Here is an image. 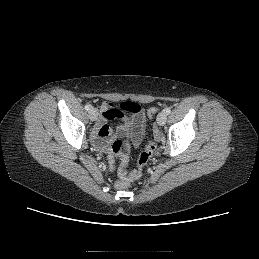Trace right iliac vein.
<instances>
[{
	"mask_svg": "<svg viewBox=\"0 0 259 259\" xmlns=\"http://www.w3.org/2000/svg\"><path fill=\"white\" fill-rule=\"evenodd\" d=\"M89 118L91 121H95L97 119V111L94 108L89 110Z\"/></svg>",
	"mask_w": 259,
	"mask_h": 259,
	"instance_id": "1",
	"label": "right iliac vein"
}]
</instances>
